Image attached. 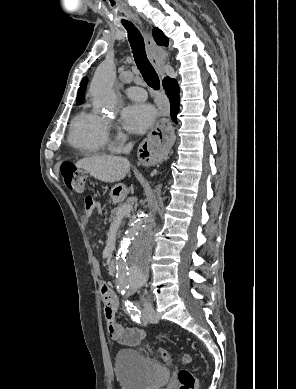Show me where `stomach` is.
Masks as SVG:
<instances>
[{"instance_id":"1","label":"stomach","mask_w":296,"mask_h":389,"mask_svg":"<svg viewBox=\"0 0 296 389\" xmlns=\"http://www.w3.org/2000/svg\"><path fill=\"white\" fill-rule=\"evenodd\" d=\"M127 194V189L122 184H117L111 189V199L113 202H118L122 200Z\"/></svg>"}]
</instances>
